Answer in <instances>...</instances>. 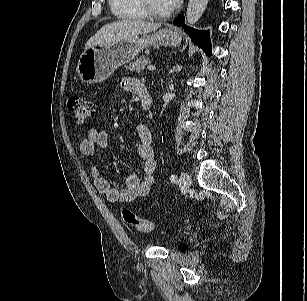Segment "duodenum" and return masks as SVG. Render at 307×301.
<instances>
[{
    "label": "duodenum",
    "instance_id": "1",
    "mask_svg": "<svg viewBox=\"0 0 307 301\" xmlns=\"http://www.w3.org/2000/svg\"><path fill=\"white\" fill-rule=\"evenodd\" d=\"M138 95L141 99L142 108L144 110H149L152 104L150 92L145 87H142L138 90Z\"/></svg>",
    "mask_w": 307,
    "mask_h": 301
}]
</instances>
